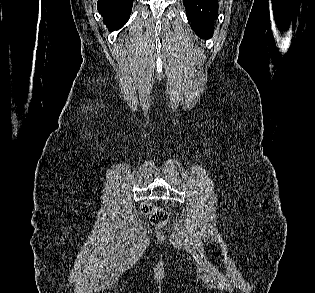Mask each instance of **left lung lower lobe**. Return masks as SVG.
<instances>
[{
    "label": "left lung lower lobe",
    "instance_id": "0a47b994",
    "mask_svg": "<svg viewBox=\"0 0 315 293\" xmlns=\"http://www.w3.org/2000/svg\"><path fill=\"white\" fill-rule=\"evenodd\" d=\"M186 14L196 34L204 39L213 35V21L217 15L216 0H184Z\"/></svg>",
    "mask_w": 315,
    "mask_h": 293
}]
</instances>
